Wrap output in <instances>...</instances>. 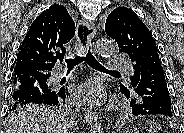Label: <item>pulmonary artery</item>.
I'll return each instance as SVG.
<instances>
[{"instance_id": "pulmonary-artery-1", "label": "pulmonary artery", "mask_w": 184, "mask_h": 133, "mask_svg": "<svg viewBox=\"0 0 184 133\" xmlns=\"http://www.w3.org/2000/svg\"><path fill=\"white\" fill-rule=\"evenodd\" d=\"M108 69L110 70H122L127 71L129 74H132L130 67V62L128 58L124 55H112L108 58ZM63 77V74L58 72L53 75L55 81L60 80Z\"/></svg>"}]
</instances>
